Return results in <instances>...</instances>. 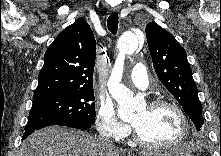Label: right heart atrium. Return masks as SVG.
I'll return each instance as SVG.
<instances>
[{
	"instance_id": "right-heart-atrium-1",
	"label": "right heart atrium",
	"mask_w": 221,
	"mask_h": 156,
	"mask_svg": "<svg viewBox=\"0 0 221 156\" xmlns=\"http://www.w3.org/2000/svg\"><path fill=\"white\" fill-rule=\"evenodd\" d=\"M95 125L102 136L116 141L127 137L131 131L130 125L117 116L113 103L106 98L97 103Z\"/></svg>"
}]
</instances>
